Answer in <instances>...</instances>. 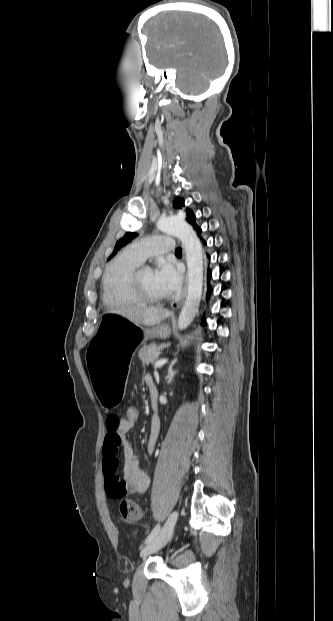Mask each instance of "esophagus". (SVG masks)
I'll return each instance as SVG.
<instances>
[{
	"label": "esophagus",
	"instance_id": "34e87169",
	"mask_svg": "<svg viewBox=\"0 0 333 621\" xmlns=\"http://www.w3.org/2000/svg\"><path fill=\"white\" fill-rule=\"evenodd\" d=\"M185 296H186V287H185V289H184V292H183V294H182L181 299H180V300H178V301H176V302L172 305V308H173V309H175V308H179V307L181 306V304H182L183 299H184V297H185Z\"/></svg>",
	"mask_w": 333,
	"mask_h": 621
}]
</instances>
